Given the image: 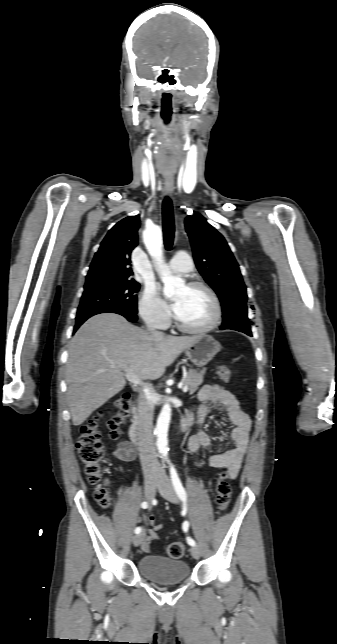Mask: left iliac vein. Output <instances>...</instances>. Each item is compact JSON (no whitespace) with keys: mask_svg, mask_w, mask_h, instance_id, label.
<instances>
[{"mask_svg":"<svg viewBox=\"0 0 337 644\" xmlns=\"http://www.w3.org/2000/svg\"><path fill=\"white\" fill-rule=\"evenodd\" d=\"M158 490L160 494L171 503H178V496L176 491L169 479V477L163 472L158 481ZM191 555L198 559L200 557V549L197 546H192L190 549Z\"/></svg>","mask_w":337,"mask_h":644,"instance_id":"1","label":"left iliac vein"}]
</instances>
